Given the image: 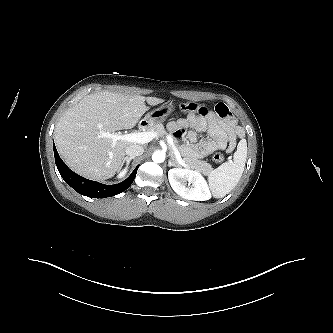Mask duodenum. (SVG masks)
Masks as SVG:
<instances>
[{"label": "duodenum", "instance_id": "410a0bca", "mask_svg": "<svg viewBox=\"0 0 333 333\" xmlns=\"http://www.w3.org/2000/svg\"><path fill=\"white\" fill-rule=\"evenodd\" d=\"M146 125H147L146 122H141V123H139L138 127H139L140 129H142V128L146 127Z\"/></svg>", "mask_w": 333, "mask_h": 333}]
</instances>
